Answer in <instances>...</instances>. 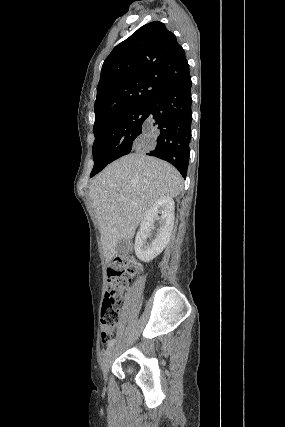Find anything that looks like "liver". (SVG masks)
Here are the masks:
<instances>
[{"instance_id": "1", "label": "liver", "mask_w": 285, "mask_h": 427, "mask_svg": "<svg viewBox=\"0 0 285 427\" xmlns=\"http://www.w3.org/2000/svg\"><path fill=\"white\" fill-rule=\"evenodd\" d=\"M182 184L172 165L139 151L112 162L96 176L89 195L107 262L118 254V241L134 236L151 206L162 197H177Z\"/></svg>"}]
</instances>
